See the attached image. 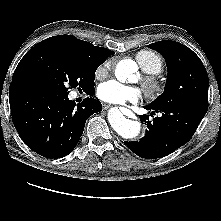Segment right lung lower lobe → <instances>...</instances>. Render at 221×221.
<instances>
[{
  "instance_id": "98d812e1",
  "label": "right lung lower lobe",
  "mask_w": 221,
  "mask_h": 221,
  "mask_svg": "<svg viewBox=\"0 0 221 221\" xmlns=\"http://www.w3.org/2000/svg\"><path fill=\"white\" fill-rule=\"evenodd\" d=\"M86 92L92 95L94 87ZM9 102L14 126L24 143L39 155L55 159L74 149L87 118L102 110L94 98L76 105L68 95L20 82L10 86Z\"/></svg>"
}]
</instances>
